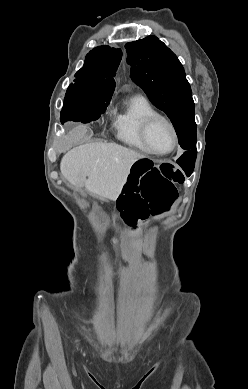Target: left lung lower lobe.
<instances>
[{
	"label": "left lung lower lobe",
	"instance_id": "obj_1",
	"mask_svg": "<svg viewBox=\"0 0 248 389\" xmlns=\"http://www.w3.org/2000/svg\"><path fill=\"white\" fill-rule=\"evenodd\" d=\"M186 131L188 134L196 136V123L194 117L188 119L185 122ZM197 150L196 148L187 150L184 152L180 158L177 159V163L185 171L187 176H190L193 172L195 160H196Z\"/></svg>",
	"mask_w": 248,
	"mask_h": 389
}]
</instances>
